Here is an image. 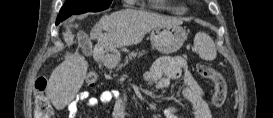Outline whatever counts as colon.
<instances>
[{
  "instance_id": "1",
  "label": "colon",
  "mask_w": 273,
  "mask_h": 118,
  "mask_svg": "<svg viewBox=\"0 0 273 118\" xmlns=\"http://www.w3.org/2000/svg\"><path fill=\"white\" fill-rule=\"evenodd\" d=\"M198 74L213 82L214 92L212 96V103L215 107H221L226 99L227 87L222 75L206 64L197 65ZM98 76L94 72H89L85 78L88 86H94L97 83ZM47 80L45 77H38L34 84L35 91V117L36 118H51L53 110L51 103L47 96Z\"/></svg>"
}]
</instances>
